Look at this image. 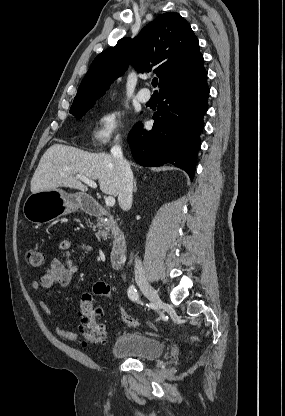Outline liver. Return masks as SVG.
I'll list each match as a JSON object with an SVG mask.
<instances>
[{"label":"liver","mask_w":285,"mask_h":416,"mask_svg":"<svg viewBox=\"0 0 285 416\" xmlns=\"http://www.w3.org/2000/svg\"><path fill=\"white\" fill-rule=\"evenodd\" d=\"M77 174L98 180L103 194L118 196L121 178L113 156L90 154L62 144H54L43 154L31 180V192L37 194L56 188L87 192V186L75 178Z\"/></svg>","instance_id":"6515ba94"}]
</instances>
